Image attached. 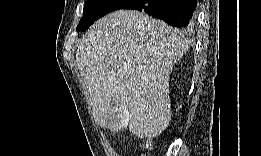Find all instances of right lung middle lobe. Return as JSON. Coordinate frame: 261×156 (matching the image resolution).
I'll return each instance as SVG.
<instances>
[{"mask_svg": "<svg viewBox=\"0 0 261 156\" xmlns=\"http://www.w3.org/2000/svg\"><path fill=\"white\" fill-rule=\"evenodd\" d=\"M129 0H87L84 6L83 18L77 26L78 31H85L97 19L111 11L120 9Z\"/></svg>", "mask_w": 261, "mask_h": 156, "instance_id": "dd1d6c3e", "label": "right lung middle lobe"}]
</instances>
